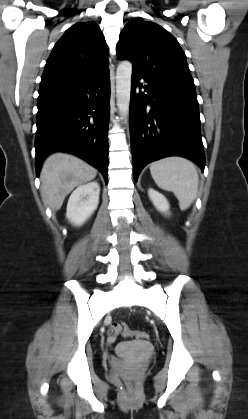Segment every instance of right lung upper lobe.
<instances>
[{"label": "right lung upper lobe", "mask_w": 248, "mask_h": 419, "mask_svg": "<svg viewBox=\"0 0 248 419\" xmlns=\"http://www.w3.org/2000/svg\"><path fill=\"white\" fill-rule=\"evenodd\" d=\"M108 69L107 45L99 26L80 22L55 44L40 88L62 86L93 78Z\"/></svg>", "instance_id": "right-lung-upper-lobe-1"}]
</instances>
